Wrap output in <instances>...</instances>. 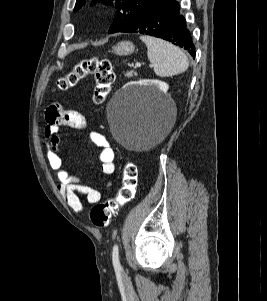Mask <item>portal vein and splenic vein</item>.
I'll return each instance as SVG.
<instances>
[{
	"label": "portal vein and splenic vein",
	"mask_w": 267,
	"mask_h": 301,
	"mask_svg": "<svg viewBox=\"0 0 267 301\" xmlns=\"http://www.w3.org/2000/svg\"><path fill=\"white\" fill-rule=\"evenodd\" d=\"M153 65H151V67H152ZM135 67L137 68V67H141V64L140 63H135Z\"/></svg>",
	"instance_id": "obj_1"
}]
</instances>
